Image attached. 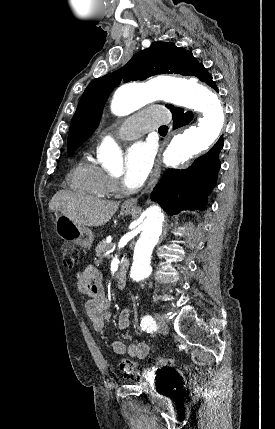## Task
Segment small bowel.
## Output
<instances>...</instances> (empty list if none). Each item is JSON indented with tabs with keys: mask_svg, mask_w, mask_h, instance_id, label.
Instances as JSON below:
<instances>
[{
	"mask_svg": "<svg viewBox=\"0 0 275 429\" xmlns=\"http://www.w3.org/2000/svg\"><path fill=\"white\" fill-rule=\"evenodd\" d=\"M76 285L92 328L97 332L103 331L110 322L111 314L110 304L102 286L100 270L93 265L81 267L76 273ZM130 320L131 310L123 309L118 317L119 330H126ZM111 347L115 354H126L131 359H145L149 353V347L144 342L127 346L122 340H115Z\"/></svg>",
	"mask_w": 275,
	"mask_h": 429,
	"instance_id": "c3829d8e",
	"label": "small bowel"
}]
</instances>
